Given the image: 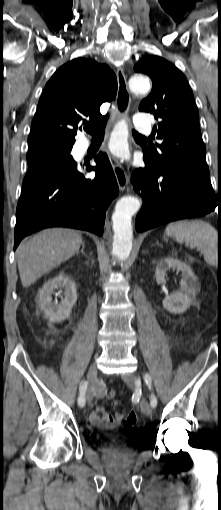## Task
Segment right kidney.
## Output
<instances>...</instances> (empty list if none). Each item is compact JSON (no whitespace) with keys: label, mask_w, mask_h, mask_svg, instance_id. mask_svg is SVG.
Masks as SVG:
<instances>
[{"label":"right kidney","mask_w":221,"mask_h":510,"mask_svg":"<svg viewBox=\"0 0 221 510\" xmlns=\"http://www.w3.org/2000/svg\"><path fill=\"white\" fill-rule=\"evenodd\" d=\"M57 289L64 293V298L61 299L60 303L52 300V294ZM38 301L39 307L49 322L64 321L69 318L71 310L77 301L76 285L67 275L60 273L43 285L39 291Z\"/></svg>","instance_id":"obj_1"}]
</instances>
